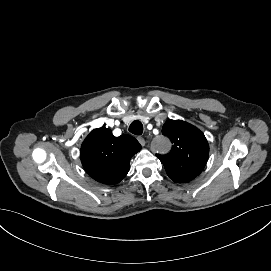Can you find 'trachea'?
<instances>
[{"label":"trachea","mask_w":271,"mask_h":271,"mask_svg":"<svg viewBox=\"0 0 271 271\" xmlns=\"http://www.w3.org/2000/svg\"><path fill=\"white\" fill-rule=\"evenodd\" d=\"M129 131L132 134L141 135L143 133V124L140 121L135 120L130 124Z\"/></svg>","instance_id":"trachea-1"}]
</instances>
